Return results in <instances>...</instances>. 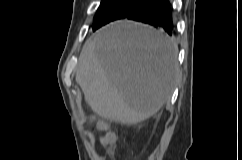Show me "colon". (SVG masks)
Segmentation results:
<instances>
[{
    "mask_svg": "<svg viewBox=\"0 0 242 160\" xmlns=\"http://www.w3.org/2000/svg\"><path fill=\"white\" fill-rule=\"evenodd\" d=\"M95 128H96L97 131L105 132L107 126H106V123L105 122H103V121H97L96 122V125H95ZM112 140H113V136L111 134H109V133L104 134L102 136V138H101V142L104 145H107V144L111 143Z\"/></svg>",
    "mask_w": 242,
    "mask_h": 160,
    "instance_id": "5ec220e1",
    "label": "colon"
}]
</instances>
